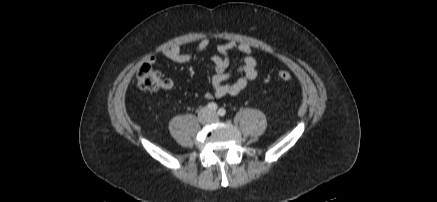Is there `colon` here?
I'll return each mask as SVG.
<instances>
[{
    "instance_id": "5ec220e1",
    "label": "colon",
    "mask_w": 437,
    "mask_h": 202,
    "mask_svg": "<svg viewBox=\"0 0 437 202\" xmlns=\"http://www.w3.org/2000/svg\"><path fill=\"white\" fill-rule=\"evenodd\" d=\"M278 77L283 81H290L292 78L290 72L286 70L279 71ZM137 84L142 90L157 91L162 88L163 79L157 70L149 63H145L138 69Z\"/></svg>"
}]
</instances>
